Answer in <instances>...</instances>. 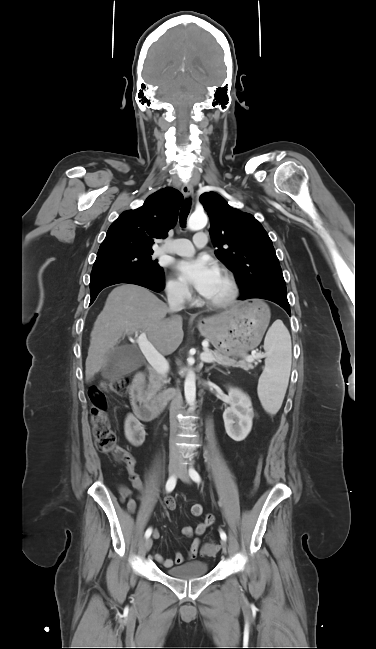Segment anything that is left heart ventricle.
<instances>
[{
    "mask_svg": "<svg viewBox=\"0 0 376 649\" xmlns=\"http://www.w3.org/2000/svg\"><path fill=\"white\" fill-rule=\"evenodd\" d=\"M229 293V284L225 277L219 272L211 289L205 295V298L210 301H219L225 298Z\"/></svg>",
    "mask_w": 376,
    "mask_h": 649,
    "instance_id": "b2bd125f",
    "label": "left heart ventricle"
}]
</instances>
